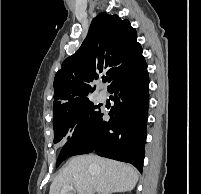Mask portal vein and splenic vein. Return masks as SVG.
<instances>
[{
    "label": "portal vein and splenic vein",
    "instance_id": "portal-vein-and-splenic-vein-1",
    "mask_svg": "<svg viewBox=\"0 0 201 194\" xmlns=\"http://www.w3.org/2000/svg\"><path fill=\"white\" fill-rule=\"evenodd\" d=\"M74 188L72 186H64L61 190V194H66L67 192L73 191Z\"/></svg>",
    "mask_w": 201,
    "mask_h": 194
}]
</instances>
